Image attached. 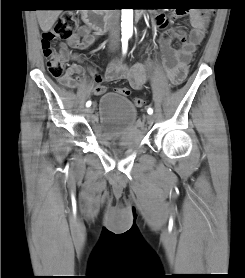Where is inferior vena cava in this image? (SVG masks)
Returning <instances> with one entry per match:
<instances>
[{"label":"inferior vena cava","instance_id":"inferior-vena-cava-1","mask_svg":"<svg viewBox=\"0 0 245 278\" xmlns=\"http://www.w3.org/2000/svg\"><path fill=\"white\" fill-rule=\"evenodd\" d=\"M117 22H118V12H115V15L112 18V26L109 34L111 43H117L119 40V28Z\"/></svg>","mask_w":245,"mask_h":278}]
</instances>
